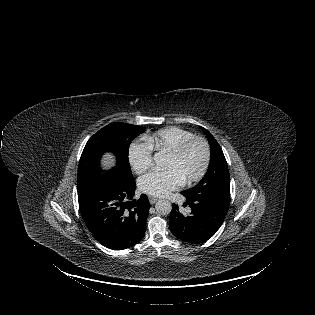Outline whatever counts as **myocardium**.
<instances>
[{"instance_id": "myocardium-1", "label": "myocardium", "mask_w": 315, "mask_h": 315, "mask_svg": "<svg viewBox=\"0 0 315 315\" xmlns=\"http://www.w3.org/2000/svg\"><path fill=\"white\" fill-rule=\"evenodd\" d=\"M199 142L204 147V161L202 164L201 169L197 174L187 179L188 182L193 183L200 181L206 174L211 160V148L208 140L202 136L193 135L182 142H180L178 145H176L174 148L169 150V155L179 157L181 156L192 144Z\"/></svg>"}]
</instances>
